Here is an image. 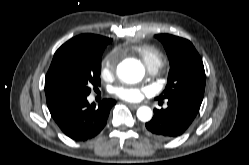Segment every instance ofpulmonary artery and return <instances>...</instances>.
Segmentation results:
<instances>
[{
	"instance_id": "pulmonary-artery-1",
	"label": "pulmonary artery",
	"mask_w": 249,
	"mask_h": 165,
	"mask_svg": "<svg viewBox=\"0 0 249 165\" xmlns=\"http://www.w3.org/2000/svg\"><path fill=\"white\" fill-rule=\"evenodd\" d=\"M149 71H150V73H155L157 70H155V69H150Z\"/></svg>"
}]
</instances>
